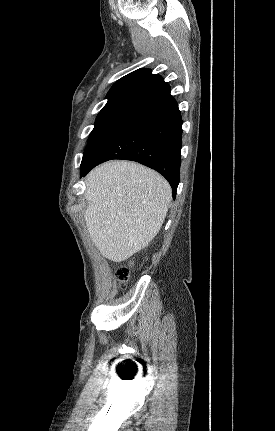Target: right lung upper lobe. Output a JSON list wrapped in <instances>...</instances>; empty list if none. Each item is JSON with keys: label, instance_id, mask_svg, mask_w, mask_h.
I'll return each mask as SVG.
<instances>
[{"label": "right lung upper lobe", "instance_id": "cb5924a9", "mask_svg": "<svg viewBox=\"0 0 275 431\" xmlns=\"http://www.w3.org/2000/svg\"><path fill=\"white\" fill-rule=\"evenodd\" d=\"M170 86L149 69H138L119 79L109 90L108 102L100 113L141 109L170 93Z\"/></svg>", "mask_w": 275, "mask_h": 431}]
</instances>
